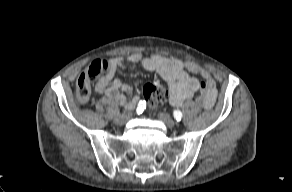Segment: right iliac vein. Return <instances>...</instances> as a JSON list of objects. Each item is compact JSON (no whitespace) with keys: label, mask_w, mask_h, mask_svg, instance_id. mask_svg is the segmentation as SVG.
I'll list each match as a JSON object with an SVG mask.
<instances>
[{"label":"right iliac vein","mask_w":292,"mask_h":192,"mask_svg":"<svg viewBox=\"0 0 292 192\" xmlns=\"http://www.w3.org/2000/svg\"><path fill=\"white\" fill-rule=\"evenodd\" d=\"M132 115H128V116H119V117H116L114 119V122L118 125H123L126 123V121L128 120L129 117H131Z\"/></svg>","instance_id":"right-iliac-vein-1"}]
</instances>
